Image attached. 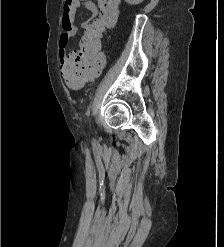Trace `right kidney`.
Instances as JSON below:
<instances>
[{
    "instance_id": "1",
    "label": "right kidney",
    "mask_w": 224,
    "mask_h": 247,
    "mask_svg": "<svg viewBox=\"0 0 224 247\" xmlns=\"http://www.w3.org/2000/svg\"><path fill=\"white\" fill-rule=\"evenodd\" d=\"M127 4H130V6H137V4H141L143 0H125Z\"/></svg>"
}]
</instances>
